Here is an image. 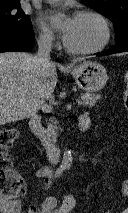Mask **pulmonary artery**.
<instances>
[{"label":"pulmonary artery","mask_w":128,"mask_h":213,"mask_svg":"<svg viewBox=\"0 0 128 213\" xmlns=\"http://www.w3.org/2000/svg\"><path fill=\"white\" fill-rule=\"evenodd\" d=\"M46 1L53 2V1H59V0H46Z\"/></svg>","instance_id":"1"}]
</instances>
